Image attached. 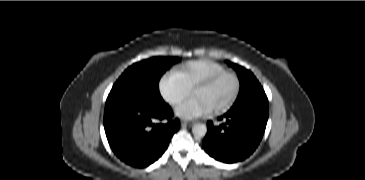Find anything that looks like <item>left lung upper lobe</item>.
<instances>
[{"instance_id":"5c2ea615","label":"left lung upper lobe","mask_w":365,"mask_h":180,"mask_svg":"<svg viewBox=\"0 0 365 180\" xmlns=\"http://www.w3.org/2000/svg\"><path fill=\"white\" fill-rule=\"evenodd\" d=\"M229 65L237 71L240 80V91L236 101L248 99L255 95L265 94L262 86L249 70L233 63H229Z\"/></svg>"}]
</instances>
